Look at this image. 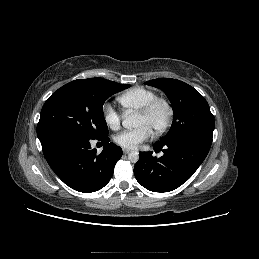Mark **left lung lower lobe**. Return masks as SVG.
<instances>
[{"instance_id": "1", "label": "left lung lower lobe", "mask_w": 259, "mask_h": 259, "mask_svg": "<svg viewBox=\"0 0 259 259\" xmlns=\"http://www.w3.org/2000/svg\"><path fill=\"white\" fill-rule=\"evenodd\" d=\"M211 141L200 137H179L154 145L160 158L152 152L139 153L134 174L143 187L153 192H169L185 183L206 158Z\"/></svg>"}]
</instances>
